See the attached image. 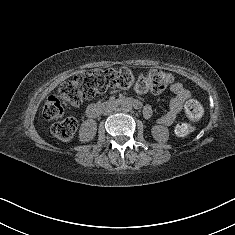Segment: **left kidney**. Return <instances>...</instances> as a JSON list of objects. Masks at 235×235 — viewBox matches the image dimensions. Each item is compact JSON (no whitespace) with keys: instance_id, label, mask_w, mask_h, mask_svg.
<instances>
[{"instance_id":"obj_1","label":"left kidney","mask_w":235,"mask_h":235,"mask_svg":"<svg viewBox=\"0 0 235 235\" xmlns=\"http://www.w3.org/2000/svg\"><path fill=\"white\" fill-rule=\"evenodd\" d=\"M154 137L160 141H166L168 139V129L159 125H155L152 128Z\"/></svg>"}]
</instances>
